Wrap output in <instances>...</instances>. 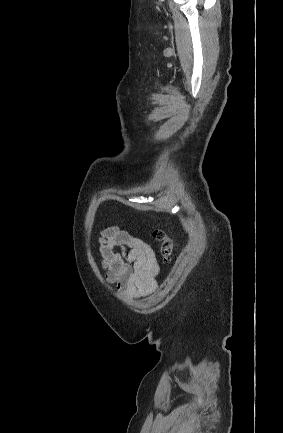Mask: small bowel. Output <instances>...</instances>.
<instances>
[{"mask_svg":"<svg viewBox=\"0 0 283 433\" xmlns=\"http://www.w3.org/2000/svg\"><path fill=\"white\" fill-rule=\"evenodd\" d=\"M99 243L104 276L126 300L156 289L159 265L147 243L116 226L104 229Z\"/></svg>","mask_w":283,"mask_h":433,"instance_id":"obj_1","label":"small bowel"}]
</instances>
